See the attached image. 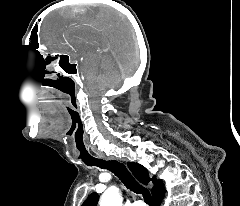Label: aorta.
<instances>
[{
	"instance_id": "1",
	"label": "aorta",
	"mask_w": 240,
	"mask_h": 206,
	"mask_svg": "<svg viewBox=\"0 0 240 206\" xmlns=\"http://www.w3.org/2000/svg\"><path fill=\"white\" fill-rule=\"evenodd\" d=\"M100 206H122L119 189L115 186L109 187L101 196Z\"/></svg>"
}]
</instances>
